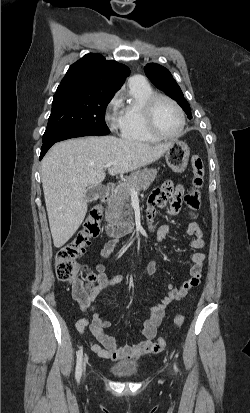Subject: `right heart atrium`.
I'll list each match as a JSON object with an SVG mask.
<instances>
[{"label": "right heart atrium", "mask_w": 250, "mask_h": 413, "mask_svg": "<svg viewBox=\"0 0 250 413\" xmlns=\"http://www.w3.org/2000/svg\"><path fill=\"white\" fill-rule=\"evenodd\" d=\"M105 121L110 130L117 131L120 129L121 111L118 95H114L107 103L105 109Z\"/></svg>", "instance_id": "1"}]
</instances>
